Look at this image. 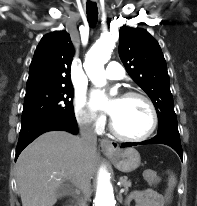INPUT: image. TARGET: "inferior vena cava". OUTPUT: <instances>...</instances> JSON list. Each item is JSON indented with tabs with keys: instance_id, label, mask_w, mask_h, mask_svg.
<instances>
[{
	"instance_id": "obj_1",
	"label": "inferior vena cava",
	"mask_w": 197,
	"mask_h": 206,
	"mask_svg": "<svg viewBox=\"0 0 197 206\" xmlns=\"http://www.w3.org/2000/svg\"><path fill=\"white\" fill-rule=\"evenodd\" d=\"M80 135L84 152H89L96 149L97 135L94 132L92 123L89 121L82 122L80 125ZM79 189L84 196L80 199L79 206H85V197L89 193L90 183L87 181H82L79 185Z\"/></svg>"
}]
</instances>
